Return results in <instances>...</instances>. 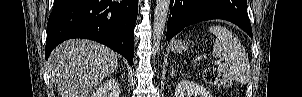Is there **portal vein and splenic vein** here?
<instances>
[{"label":"portal vein and splenic vein","mask_w":302,"mask_h":97,"mask_svg":"<svg viewBox=\"0 0 302 97\" xmlns=\"http://www.w3.org/2000/svg\"><path fill=\"white\" fill-rule=\"evenodd\" d=\"M214 62H215V64H220L221 63L220 60H215Z\"/></svg>","instance_id":"1"}]
</instances>
